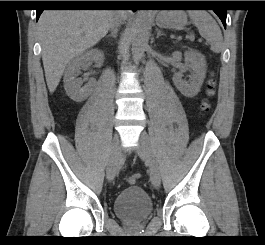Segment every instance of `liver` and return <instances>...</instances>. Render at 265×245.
<instances>
[{"label": "liver", "instance_id": "liver-1", "mask_svg": "<svg viewBox=\"0 0 265 245\" xmlns=\"http://www.w3.org/2000/svg\"><path fill=\"white\" fill-rule=\"evenodd\" d=\"M127 19L126 12L109 10H46L38 21L42 61L48 89L53 93L66 66L96 45L114 19Z\"/></svg>", "mask_w": 265, "mask_h": 245}]
</instances>
